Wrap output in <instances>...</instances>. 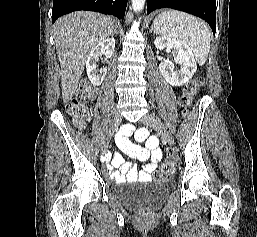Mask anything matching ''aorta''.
<instances>
[{"instance_id":"aorta-1","label":"aorta","mask_w":257,"mask_h":237,"mask_svg":"<svg viewBox=\"0 0 257 237\" xmlns=\"http://www.w3.org/2000/svg\"><path fill=\"white\" fill-rule=\"evenodd\" d=\"M146 0H132V8L135 13H140L144 8Z\"/></svg>"}]
</instances>
